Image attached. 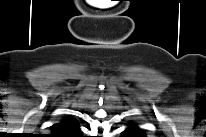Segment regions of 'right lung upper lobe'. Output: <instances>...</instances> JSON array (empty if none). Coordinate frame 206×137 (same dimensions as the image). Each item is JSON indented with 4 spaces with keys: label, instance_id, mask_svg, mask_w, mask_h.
Segmentation results:
<instances>
[{
    "label": "right lung upper lobe",
    "instance_id": "cb5924a9",
    "mask_svg": "<svg viewBox=\"0 0 206 137\" xmlns=\"http://www.w3.org/2000/svg\"><path fill=\"white\" fill-rule=\"evenodd\" d=\"M52 136L75 137L81 134L77 121L72 117H65L61 122L51 126Z\"/></svg>",
    "mask_w": 206,
    "mask_h": 137
}]
</instances>
